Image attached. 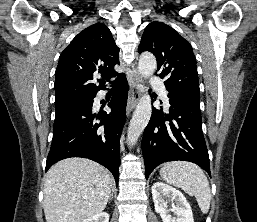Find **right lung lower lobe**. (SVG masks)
I'll use <instances>...</instances> for the list:
<instances>
[{"label": "right lung lower lobe", "instance_id": "right-lung-lower-lobe-1", "mask_svg": "<svg viewBox=\"0 0 257 222\" xmlns=\"http://www.w3.org/2000/svg\"><path fill=\"white\" fill-rule=\"evenodd\" d=\"M108 106L110 114L93 113V96L85 108H73L55 116L53 139L46 171L56 162L69 157H83L100 163L113 174L118 186L120 137L126 118L128 83L121 73L114 81ZM105 90V89H104ZM100 119L97 123L96 120Z\"/></svg>", "mask_w": 257, "mask_h": 222}]
</instances>
